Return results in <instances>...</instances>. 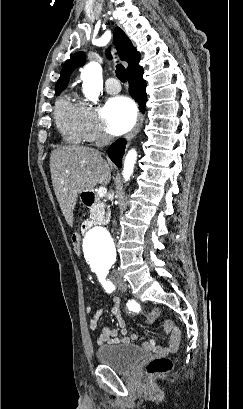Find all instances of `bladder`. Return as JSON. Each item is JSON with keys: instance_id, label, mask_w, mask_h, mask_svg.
Returning a JSON list of instances; mask_svg holds the SVG:
<instances>
[{"instance_id": "1", "label": "bladder", "mask_w": 243, "mask_h": 409, "mask_svg": "<svg viewBox=\"0 0 243 409\" xmlns=\"http://www.w3.org/2000/svg\"><path fill=\"white\" fill-rule=\"evenodd\" d=\"M147 354L142 347L129 343L103 345L96 351L100 364L119 373L129 372Z\"/></svg>"}]
</instances>
